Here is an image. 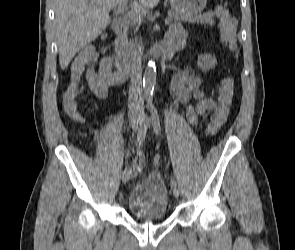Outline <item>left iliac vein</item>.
Returning a JSON list of instances; mask_svg holds the SVG:
<instances>
[{
    "instance_id": "left-iliac-vein-1",
    "label": "left iliac vein",
    "mask_w": 295,
    "mask_h": 250,
    "mask_svg": "<svg viewBox=\"0 0 295 250\" xmlns=\"http://www.w3.org/2000/svg\"><path fill=\"white\" fill-rule=\"evenodd\" d=\"M145 123H146L147 127H150V123L147 118H145ZM145 129H146V126H145ZM171 191H172L173 195L177 198L178 194H179L177 187L176 186L171 187Z\"/></svg>"
}]
</instances>
